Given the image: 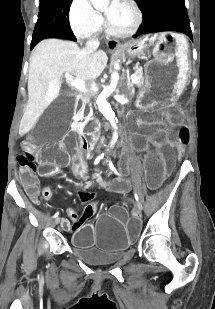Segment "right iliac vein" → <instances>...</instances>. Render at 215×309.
<instances>
[{
  "mask_svg": "<svg viewBox=\"0 0 215 309\" xmlns=\"http://www.w3.org/2000/svg\"><path fill=\"white\" fill-rule=\"evenodd\" d=\"M60 222V218L58 217V218H56L55 220H54V225H57L58 223Z\"/></svg>",
  "mask_w": 215,
  "mask_h": 309,
  "instance_id": "right-iliac-vein-1",
  "label": "right iliac vein"
}]
</instances>
